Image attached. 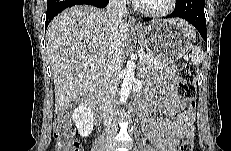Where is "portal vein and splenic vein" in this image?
Masks as SVG:
<instances>
[{
  "label": "portal vein and splenic vein",
  "mask_w": 231,
  "mask_h": 151,
  "mask_svg": "<svg viewBox=\"0 0 231 151\" xmlns=\"http://www.w3.org/2000/svg\"><path fill=\"white\" fill-rule=\"evenodd\" d=\"M146 55L142 52V53H140V58L142 59V58H144Z\"/></svg>",
  "instance_id": "obj_1"
}]
</instances>
